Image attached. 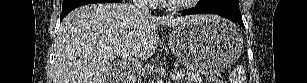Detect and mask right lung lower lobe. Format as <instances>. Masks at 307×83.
<instances>
[{"label": "right lung lower lobe", "instance_id": "98d812e1", "mask_svg": "<svg viewBox=\"0 0 307 83\" xmlns=\"http://www.w3.org/2000/svg\"><path fill=\"white\" fill-rule=\"evenodd\" d=\"M118 3L120 0H64L62 6V14L61 20L66 16L70 11L74 10L75 8L90 4V3Z\"/></svg>", "mask_w": 307, "mask_h": 83}]
</instances>
